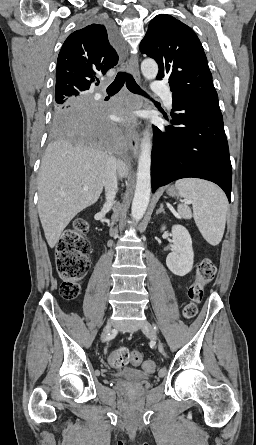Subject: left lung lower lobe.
<instances>
[{
	"label": "left lung lower lobe",
	"instance_id": "0a47b994",
	"mask_svg": "<svg viewBox=\"0 0 256 445\" xmlns=\"http://www.w3.org/2000/svg\"><path fill=\"white\" fill-rule=\"evenodd\" d=\"M171 123L154 129L152 191L195 177L218 184L231 198L232 167L218 103L172 95Z\"/></svg>",
	"mask_w": 256,
	"mask_h": 445
}]
</instances>
